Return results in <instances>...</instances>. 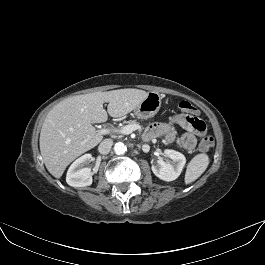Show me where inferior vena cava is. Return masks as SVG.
<instances>
[{
	"mask_svg": "<svg viewBox=\"0 0 265 265\" xmlns=\"http://www.w3.org/2000/svg\"><path fill=\"white\" fill-rule=\"evenodd\" d=\"M112 145V139H104L98 146L99 153L103 155L108 154L111 150Z\"/></svg>",
	"mask_w": 265,
	"mask_h": 265,
	"instance_id": "1",
	"label": "inferior vena cava"
}]
</instances>
